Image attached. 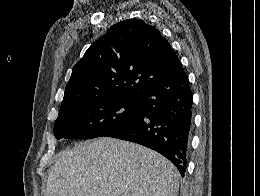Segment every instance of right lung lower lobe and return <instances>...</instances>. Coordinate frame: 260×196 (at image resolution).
Wrapping results in <instances>:
<instances>
[{
	"label": "right lung lower lobe",
	"mask_w": 260,
	"mask_h": 196,
	"mask_svg": "<svg viewBox=\"0 0 260 196\" xmlns=\"http://www.w3.org/2000/svg\"><path fill=\"white\" fill-rule=\"evenodd\" d=\"M142 119L119 131L108 134L151 148L177 167L182 176L187 170L192 127L193 95L183 71L162 85L138 98Z\"/></svg>",
	"instance_id": "right-lung-lower-lobe-1"
}]
</instances>
